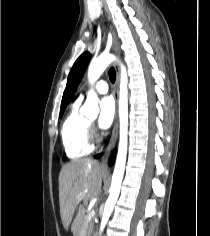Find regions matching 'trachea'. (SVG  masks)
I'll use <instances>...</instances> for the list:
<instances>
[{"mask_svg": "<svg viewBox=\"0 0 210 236\" xmlns=\"http://www.w3.org/2000/svg\"><path fill=\"white\" fill-rule=\"evenodd\" d=\"M109 78H110V81L112 83H114L115 80H116V72H115V69L113 67H111L110 70H109Z\"/></svg>", "mask_w": 210, "mask_h": 236, "instance_id": "3493384b", "label": "trachea"}]
</instances>
